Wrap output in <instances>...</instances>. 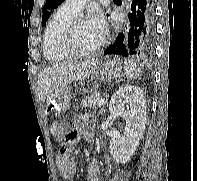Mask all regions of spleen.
Listing matches in <instances>:
<instances>
[{
	"instance_id": "spleen-1",
	"label": "spleen",
	"mask_w": 197,
	"mask_h": 181,
	"mask_svg": "<svg viewBox=\"0 0 197 181\" xmlns=\"http://www.w3.org/2000/svg\"><path fill=\"white\" fill-rule=\"evenodd\" d=\"M124 69H125V74L128 77L129 80L136 79L141 75L142 68L137 66L135 63L132 61H125L124 62Z\"/></svg>"
}]
</instances>
